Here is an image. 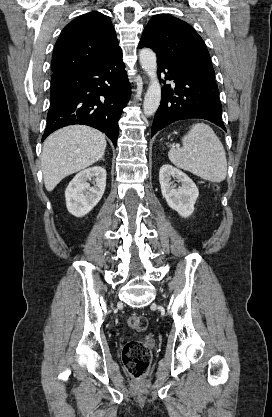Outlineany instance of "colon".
Wrapping results in <instances>:
<instances>
[{"instance_id":"5ec220e1","label":"colon","mask_w":272,"mask_h":417,"mask_svg":"<svg viewBox=\"0 0 272 417\" xmlns=\"http://www.w3.org/2000/svg\"><path fill=\"white\" fill-rule=\"evenodd\" d=\"M127 325L131 330L143 331L147 327V319L142 315H131L127 319ZM150 357V350L142 341H128L123 347L122 360L124 366L128 373L137 380L145 375L149 367Z\"/></svg>"}]
</instances>
